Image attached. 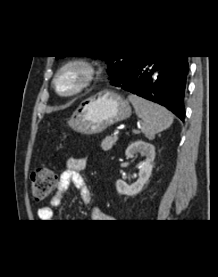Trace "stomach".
<instances>
[{"mask_svg":"<svg viewBox=\"0 0 218 277\" xmlns=\"http://www.w3.org/2000/svg\"><path fill=\"white\" fill-rule=\"evenodd\" d=\"M130 116L126 99L113 91H101L82 101L67 123L78 133L95 135Z\"/></svg>","mask_w":218,"mask_h":277,"instance_id":"0dacf381","label":"stomach"}]
</instances>
